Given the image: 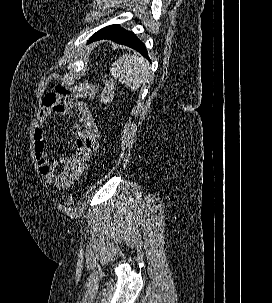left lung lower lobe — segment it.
I'll return each instance as SVG.
<instances>
[{
    "mask_svg": "<svg viewBox=\"0 0 272 303\" xmlns=\"http://www.w3.org/2000/svg\"><path fill=\"white\" fill-rule=\"evenodd\" d=\"M101 39H109L118 44L129 46L148 58L145 45L132 32H128L118 25H110L99 30L89 39L88 43Z\"/></svg>",
    "mask_w": 272,
    "mask_h": 303,
    "instance_id": "left-lung-lower-lobe-1",
    "label": "left lung lower lobe"
}]
</instances>
